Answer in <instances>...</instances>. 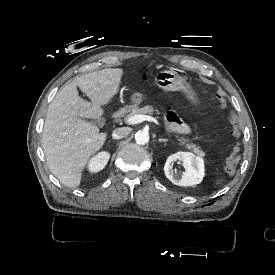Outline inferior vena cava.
Wrapping results in <instances>:
<instances>
[{"mask_svg":"<svg viewBox=\"0 0 275 275\" xmlns=\"http://www.w3.org/2000/svg\"><path fill=\"white\" fill-rule=\"evenodd\" d=\"M130 132H131V129L127 128V127L117 128L113 131L112 138L113 139H122L125 136H127Z\"/></svg>","mask_w":275,"mask_h":275,"instance_id":"602c4592","label":"inferior vena cava"}]
</instances>
